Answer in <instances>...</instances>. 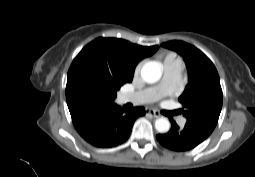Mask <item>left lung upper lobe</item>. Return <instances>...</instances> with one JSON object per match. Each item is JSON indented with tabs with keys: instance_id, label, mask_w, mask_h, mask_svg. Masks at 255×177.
<instances>
[{
	"instance_id": "obj_1",
	"label": "left lung upper lobe",
	"mask_w": 255,
	"mask_h": 177,
	"mask_svg": "<svg viewBox=\"0 0 255 177\" xmlns=\"http://www.w3.org/2000/svg\"><path fill=\"white\" fill-rule=\"evenodd\" d=\"M162 46L180 54L187 66L188 84L179 97L186 124L211 134L218 122L223 102L215 66L199 49L183 41H169Z\"/></svg>"
}]
</instances>
